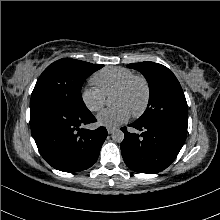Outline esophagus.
Masks as SVG:
<instances>
[{
  "label": "esophagus",
  "instance_id": "1",
  "mask_svg": "<svg viewBox=\"0 0 220 220\" xmlns=\"http://www.w3.org/2000/svg\"><path fill=\"white\" fill-rule=\"evenodd\" d=\"M115 130H116V129H115V128H112V127L107 128V132H108L109 134H112Z\"/></svg>",
  "mask_w": 220,
  "mask_h": 220
}]
</instances>
